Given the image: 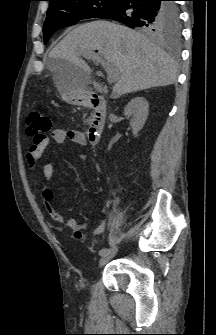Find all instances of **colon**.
I'll return each instance as SVG.
<instances>
[{
  "mask_svg": "<svg viewBox=\"0 0 216 335\" xmlns=\"http://www.w3.org/2000/svg\"><path fill=\"white\" fill-rule=\"evenodd\" d=\"M27 135L32 138L33 143L39 142L42 140L45 136L47 131L51 127V119L48 115L43 114L39 111H31L27 115ZM44 196L46 199L51 200L52 193L50 189H47L44 193ZM74 237L76 239H82L83 235L81 231H76L74 233Z\"/></svg>",
  "mask_w": 216,
  "mask_h": 335,
  "instance_id": "colon-1",
  "label": "colon"
}]
</instances>
